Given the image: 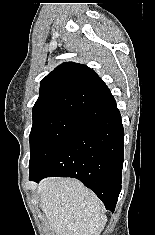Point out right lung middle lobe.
<instances>
[{
  "label": "right lung middle lobe",
  "instance_id": "1",
  "mask_svg": "<svg viewBox=\"0 0 155 235\" xmlns=\"http://www.w3.org/2000/svg\"><path fill=\"white\" fill-rule=\"evenodd\" d=\"M89 122L60 111L33 113L30 141V172L41 170L52 157Z\"/></svg>",
  "mask_w": 155,
  "mask_h": 235
}]
</instances>
